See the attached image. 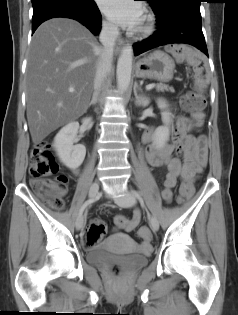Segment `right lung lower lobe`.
Here are the masks:
<instances>
[{
    "label": "right lung lower lobe",
    "instance_id": "1",
    "mask_svg": "<svg viewBox=\"0 0 238 315\" xmlns=\"http://www.w3.org/2000/svg\"><path fill=\"white\" fill-rule=\"evenodd\" d=\"M32 34L44 21L66 17L79 21L92 33L101 30V14L94 0H32Z\"/></svg>",
    "mask_w": 238,
    "mask_h": 315
}]
</instances>
